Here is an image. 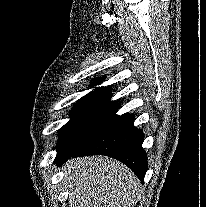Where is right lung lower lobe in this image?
<instances>
[{
  "instance_id": "obj_1",
  "label": "right lung lower lobe",
  "mask_w": 206,
  "mask_h": 207,
  "mask_svg": "<svg viewBox=\"0 0 206 207\" xmlns=\"http://www.w3.org/2000/svg\"><path fill=\"white\" fill-rule=\"evenodd\" d=\"M134 117L124 114L77 149L57 152L55 164L61 165L71 157L106 155L126 164L143 182L147 155L142 148L144 134L133 126Z\"/></svg>"
}]
</instances>
